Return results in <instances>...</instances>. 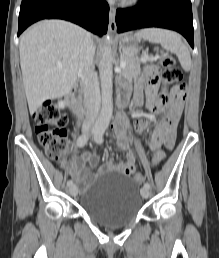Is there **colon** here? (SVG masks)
Listing matches in <instances>:
<instances>
[{
    "label": "colon",
    "mask_w": 219,
    "mask_h": 258,
    "mask_svg": "<svg viewBox=\"0 0 219 258\" xmlns=\"http://www.w3.org/2000/svg\"><path fill=\"white\" fill-rule=\"evenodd\" d=\"M161 64L163 67L162 79L164 86L162 91L167 90L168 85H174L175 95H181L185 91L182 83L183 73L176 65L174 57L168 53H161ZM36 122L35 133L39 143L43 147L46 155L54 161L63 162L64 153L67 147V117L61 113L49 100L45 101L40 108L33 112ZM165 160V153L162 150L155 152L153 165L159 168ZM134 180L141 183L145 180L142 173H136Z\"/></svg>",
    "instance_id": "colon-1"
}]
</instances>
